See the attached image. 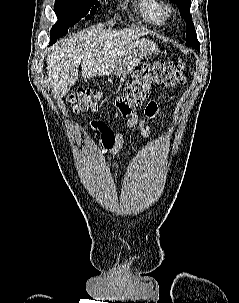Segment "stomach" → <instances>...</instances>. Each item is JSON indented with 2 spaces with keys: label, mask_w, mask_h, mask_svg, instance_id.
<instances>
[{
  "label": "stomach",
  "mask_w": 239,
  "mask_h": 303,
  "mask_svg": "<svg viewBox=\"0 0 239 303\" xmlns=\"http://www.w3.org/2000/svg\"><path fill=\"white\" fill-rule=\"evenodd\" d=\"M158 50L155 43L150 40L143 39L139 41L136 47L130 49L122 61L114 70L117 76H125L130 73L138 64L147 56L152 55Z\"/></svg>",
  "instance_id": "stomach-1"
}]
</instances>
